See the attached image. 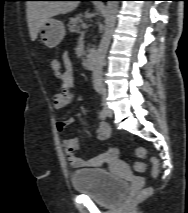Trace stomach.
I'll use <instances>...</instances> for the list:
<instances>
[{"instance_id": "obj_1", "label": "stomach", "mask_w": 188, "mask_h": 213, "mask_svg": "<svg viewBox=\"0 0 188 213\" xmlns=\"http://www.w3.org/2000/svg\"><path fill=\"white\" fill-rule=\"evenodd\" d=\"M65 26L57 19L47 20L39 29L41 42L49 48H54L61 43L65 36Z\"/></svg>"}]
</instances>
